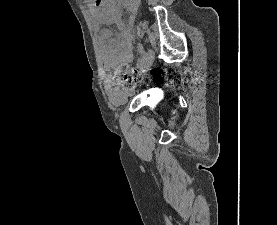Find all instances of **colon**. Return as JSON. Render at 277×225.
<instances>
[{"instance_id":"5ec220e1","label":"colon","mask_w":277,"mask_h":225,"mask_svg":"<svg viewBox=\"0 0 277 225\" xmlns=\"http://www.w3.org/2000/svg\"><path fill=\"white\" fill-rule=\"evenodd\" d=\"M115 80L125 87H131L136 77L133 72L129 71V67L126 63H122L115 72Z\"/></svg>"}]
</instances>
